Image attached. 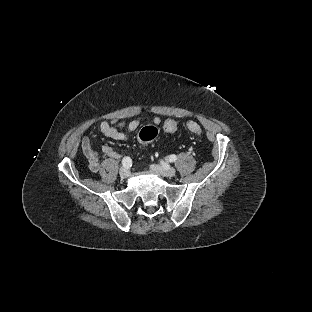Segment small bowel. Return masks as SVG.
Here are the masks:
<instances>
[{"label": "small bowel", "instance_id": "obj_1", "mask_svg": "<svg viewBox=\"0 0 312 312\" xmlns=\"http://www.w3.org/2000/svg\"><path fill=\"white\" fill-rule=\"evenodd\" d=\"M153 123L159 125L161 124V119L159 117H155L153 119ZM139 126V120H132L130 122L114 120L111 122L102 121L99 125V129L100 132L108 138L114 140H126L131 133L135 132L139 128ZM80 147L84 156L88 160L89 169L93 173H97L100 170V154L92 149L90 139L86 136L82 137ZM101 152L110 158L117 159L120 157L119 153L108 145L103 146Z\"/></svg>", "mask_w": 312, "mask_h": 312}]
</instances>
